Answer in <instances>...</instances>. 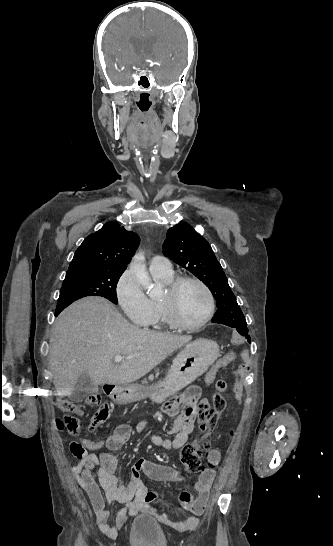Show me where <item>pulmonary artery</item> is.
<instances>
[{
    "instance_id": "1",
    "label": "pulmonary artery",
    "mask_w": 333,
    "mask_h": 546,
    "mask_svg": "<svg viewBox=\"0 0 333 546\" xmlns=\"http://www.w3.org/2000/svg\"><path fill=\"white\" fill-rule=\"evenodd\" d=\"M149 269L152 273L161 275H171L173 273L171 261L161 255H156L150 260Z\"/></svg>"
}]
</instances>
